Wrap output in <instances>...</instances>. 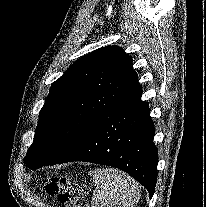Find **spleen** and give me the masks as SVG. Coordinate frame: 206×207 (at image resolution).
Segmentation results:
<instances>
[{"instance_id": "spleen-1", "label": "spleen", "mask_w": 206, "mask_h": 207, "mask_svg": "<svg viewBox=\"0 0 206 207\" xmlns=\"http://www.w3.org/2000/svg\"><path fill=\"white\" fill-rule=\"evenodd\" d=\"M94 180L92 207H133L140 198V187L130 176L114 168L89 173Z\"/></svg>"}]
</instances>
